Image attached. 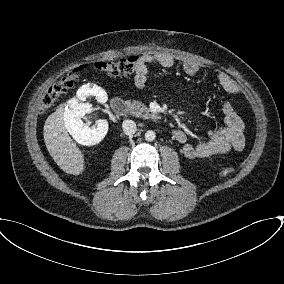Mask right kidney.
Listing matches in <instances>:
<instances>
[{"mask_svg": "<svg viewBox=\"0 0 284 284\" xmlns=\"http://www.w3.org/2000/svg\"><path fill=\"white\" fill-rule=\"evenodd\" d=\"M88 96H95L97 101L105 103L107 93L96 84L82 85L77 91V99L70 100L69 108L65 111V127L77 143L85 146L98 144L107 134L108 122L100 119L90 127L82 118L89 111L90 105L82 103Z\"/></svg>", "mask_w": 284, "mask_h": 284, "instance_id": "right-kidney-1", "label": "right kidney"}]
</instances>
